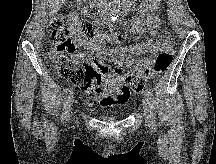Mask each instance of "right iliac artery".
<instances>
[{
	"instance_id": "right-iliac-artery-1",
	"label": "right iliac artery",
	"mask_w": 216,
	"mask_h": 164,
	"mask_svg": "<svg viewBox=\"0 0 216 164\" xmlns=\"http://www.w3.org/2000/svg\"><path fill=\"white\" fill-rule=\"evenodd\" d=\"M109 21L112 22V21H115V19L112 18ZM72 99H73V92L70 91L68 98L64 104V110H65L64 115H65L66 120L69 118V115H70V106H71Z\"/></svg>"
}]
</instances>
